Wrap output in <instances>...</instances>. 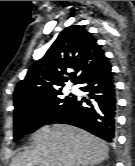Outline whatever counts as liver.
Wrapping results in <instances>:
<instances>
[{
    "label": "liver",
    "instance_id": "liver-1",
    "mask_svg": "<svg viewBox=\"0 0 135 166\" xmlns=\"http://www.w3.org/2000/svg\"><path fill=\"white\" fill-rule=\"evenodd\" d=\"M32 139L34 148L16 155L10 166H88L108 157L103 140L66 124L44 126Z\"/></svg>",
    "mask_w": 135,
    "mask_h": 166
}]
</instances>
